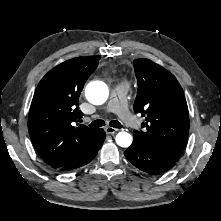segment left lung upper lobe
<instances>
[{"mask_svg": "<svg viewBox=\"0 0 221 221\" xmlns=\"http://www.w3.org/2000/svg\"><path fill=\"white\" fill-rule=\"evenodd\" d=\"M138 91L135 113L145 116L134 137L177 161L188 139L189 113L182 87L166 69L145 58L134 60Z\"/></svg>", "mask_w": 221, "mask_h": 221, "instance_id": "left-lung-upper-lobe-1", "label": "left lung upper lobe"}]
</instances>
